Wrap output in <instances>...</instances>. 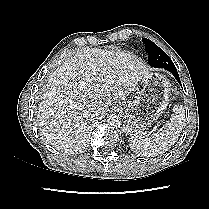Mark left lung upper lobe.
I'll list each match as a JSON object with an SVG mask.
<instances>
[{"label":"left lung upper lobe","mask_w":209,"mask_h":209,"mask_svg":"<svg viewBox=\"0 0 209 209\" xmlns=\"http://www.w3.org/2000/svg\"><path fill=\"white\" fill-rule=\"evenodd\" d=\"M143 40L149 55L148 61L150 66L166 70L175 68L170 57L161 48L147 38H144Z\"/></svg>","instance_id":"obj_1"}]
</instances>
